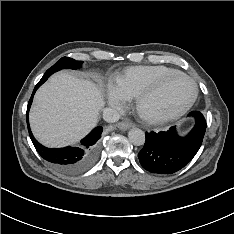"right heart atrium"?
Returning <instances> with one entry per match:
<instances>
[{
  "mask_svg": "<svg viewBox=\"0 0 234 234\" xmlns=\"http://www.w3.org/2000/svg\"><path fill=\"white\" fill-rule=\"evenodd\" d=\"M107 97L109 102L117 108H123L126 105V99L121 95L117 87L114 85H109Z\"/></svg>",
  "mask_w": 234,
  "mask_h": 234,
  "instance_id": "obj_1",
  "label": "right heart atrium"
}]
</instances>
